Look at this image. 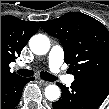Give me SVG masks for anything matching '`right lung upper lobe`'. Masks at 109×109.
Segmentation results:
<instances>
[{"mask_svg":"<svg viewBox=\"0 0 109 109\" xmlns=\"http://www.w3.org/2000/svg\"><path fill=\"white\" fill-rule=\"evenodd\" d=\"M38 29L37 22L22 21L15 16H1V81L17 76L10 72L9 64L20 55Z\"/></svg>","mask_w":109,"mask_h":109,"instance_id":"cb5924a9","label":"right lung upper lobe"}]
</instances>
